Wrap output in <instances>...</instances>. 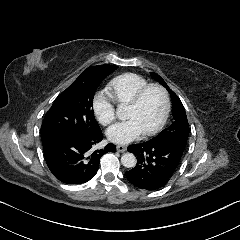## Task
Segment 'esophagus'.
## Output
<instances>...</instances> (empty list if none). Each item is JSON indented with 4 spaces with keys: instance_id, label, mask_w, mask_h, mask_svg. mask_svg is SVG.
<instances>
[{
    "instance_id": "1",
    "label": "esophagus",
    "mask_w": 240,
    "mask_h": 240,
    "mask_svg": "<svg viewBox=\"0 0 240 240\" xmlns=\"http://www.w3.org/2000/svg\"><path fill=\"white\" fill-rule=\"evenodd\" d=\"M116 150L120 153H124L127 150V146L126 145H117Z\"/></svg>"
}]
</instances>
